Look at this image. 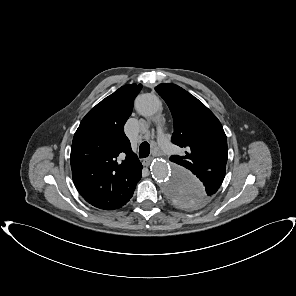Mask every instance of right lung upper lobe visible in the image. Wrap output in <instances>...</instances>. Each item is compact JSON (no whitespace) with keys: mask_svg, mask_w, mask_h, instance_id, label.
<instances>
[{"mask_svg":"<svg viewBox=\"0 0 296 296\" xmlns=\"http://www.w3.org/2000/svg\"><path fill=\"white\" fill-rule=\"evenodd\" d=\"M142 85H125L92 108L75 132L71 147L74 184L91 205L114 210L132 197L142 169L124 133Z\"/></svg>","mask_w":296,"mask_h":296,"instance_id":"cb5924a9","label":"right lung upper lobe"}]
</instances>
